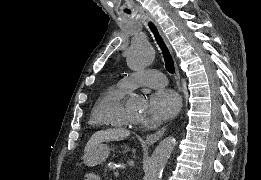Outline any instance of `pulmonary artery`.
Here are the masks:
<instances>
[{
    "label": "pulmonary artery",
    "mask_w": 261,
    "mask_h": 180,
    "mask_svg": "<svg viewBox=\"0 0 261 180\" xmlns=\"http://www.w3.org/2000/svg\"><path fill=\"white\" fill-rule=\"evenodd\" d=\"M165 80V76L158 70L146 68L143 69V73H130L123 76L118 81V85L124 91L132 88L153 89L160 88V84L164 83Z\"/></svg>",
    "instance_id": "1"
}]
</instances>
